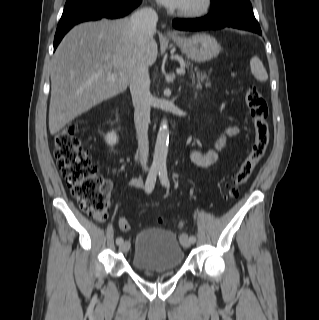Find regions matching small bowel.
Instances as JSON below:
<instances>
[{"label":"small bowel","instance_id":"1","mask_svg":"<svg viewBox=\"0 0 319 320\" xmlns=\"http://www.w3.org/2000/svg\"><path fill=\"white\" fill-rule=\"evenodd\" d=\"M238 130V126H233L226 129L217 138L215 148L211 151L202 153L198 150H192L190 156L193 163L200 167H207L212 165L217 160V152L225 145L226 139L235 135L238 132ZM128 186L131 188H142L144 186V183L141 178L135 177L129 180Z\"/></svg>","mask_w":319,"mask_h":320}]
</instances>
